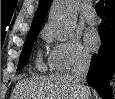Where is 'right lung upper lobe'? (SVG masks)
Instances as JSON below:
<instances>
[{
  "mask_svg": "<svg viewBox=\"0 0 115 99\" xmlns=\"http://www.w3.org/2000/svg\"><path fill=\"white\" fill-rule=\"evenodd\" d=\"M52 0H40L28 35L38 34ZM115 6V0H106L105 9Z\"/></svg>",
  "mask_w": 115,
  "mask_h": 99,
  "instance_id": "right-lung-upper-lobe-1",
  "label": "right lung upper lobe"
}]
</instances>
